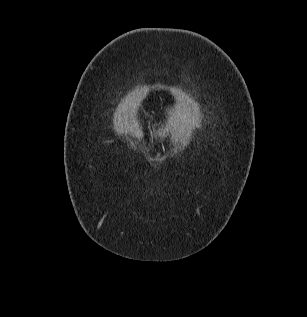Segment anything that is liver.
Listing matches in <instances>:
<instances>
[{
    "label": "liver",
    "mask_w": 307,
    "mask_h": 317,
    "mask_svg": "<svg viewBox=\"0 0 307 317\" xmlns=\"http://www.w3.org/2000/svg\"><path fill=\"white\" fill-rule=\"evenodd\" d=\"M121 112L122 108L119 106L117 114L120 115ZM197 113V107L195 105L191 107V102L188 99L175 106L174 109L168 111L169 119L166 127L161 130L162 136H165V133L170 130L176 137L187 140L191 136L192 129L198 126Z\"/></svg>",
    "instance_id": "obj_1"
}]
</instances>
